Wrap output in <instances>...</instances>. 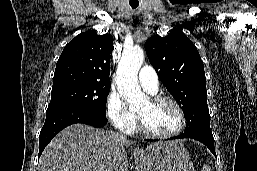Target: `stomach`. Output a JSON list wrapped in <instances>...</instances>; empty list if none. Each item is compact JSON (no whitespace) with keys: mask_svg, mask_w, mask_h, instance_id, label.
Masks as SVG:
<instances>
[{"mask_svg":"<svg viewBox=\"0 0 257 171\" xmlns=\"http://www.w3.org/2000/svg\"><path fill=\"white\" fill-rule=\"evenodd\" d=\"M137 171H195L191 158L179 141L155 142L135 149Z\"/></svg>","mask_w":257,"mask_h":171,"instance_id":"0dacf381","label":"stomach"}]
</instances>
